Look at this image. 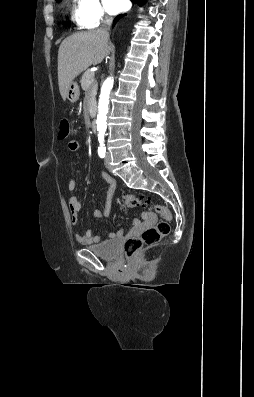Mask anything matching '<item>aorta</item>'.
<instances>
[{
	"label": "aorta",
	"instance_id": "obj_1",
	"mask_svg": "<svg viewBox=\"0 0 254 397\" xmlns=\"http://www.w3.org/2000/svg\"><path fill=\"white\" fill-rule=\"evenodd\" d=\"M113 86V78L108 77L101 88V94L99 99L98 106V115H97V131H98V140L101 146H104V137L107 127V114L109 110V95Z\"/></svg>",
	"mask_w": 254,
	"mask_h": 397
}]
</instances>
